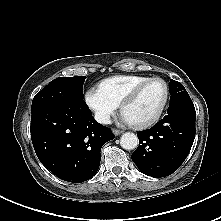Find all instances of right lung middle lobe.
Returning <instances> with one entry per match:
<instances>
[{
	"mask_svg": "<svg viewBox=\"0 0 221 221\" xmlns=\"http://www.w3.org/2000/svg\"><path fill=\"white\" fill-rule=\"evenodd\" d=\"M85 76L59 77L44 87L32 101L31 112L55 104L83 101Z\"/></svg>",
	"mask_w": 221,
	"mask_h": 221,
	"instance_id": "dd1d6c3e",
	"label": "right lung middle lobe"
}]
</instances>
